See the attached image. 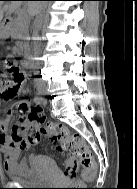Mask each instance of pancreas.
<instances>
[{
	"mask_svg": "<svg viewBox=\"0 0 137 189\" xmlns=\"http://www.w3.org/2000/svg\"><path fill=\"white\" fill-rule=\"evenodd\" d=\"M28 25H29V21L27 19H20L17 18L14 24V28H13V32L15 34V38L19 39V40H24L26 39V37H28ZM21 49H23L21 47Z\"/></svg>",
	"mask_w": 137,
	"mask_h": 189,
	"instance_id": "1",
	"label": "pancreas"
}]
</instances>
